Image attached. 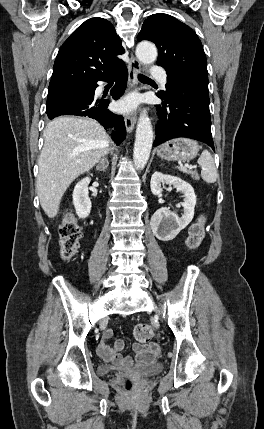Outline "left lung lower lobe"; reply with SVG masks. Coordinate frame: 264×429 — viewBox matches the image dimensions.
Returning <instances> with one entry per match:
<instances>
[{
    "label": "left lung lower lobe",
    "mask_w": 264,
    "mask_h": 429,
    "mask_svg": "<svg viewBox=\"0 0 264 429\" xmlns=\"http://www.w3.org/2000/svg\"><path fill=\"white\" fill-rule=\"evenodd\" d=\"M167 84L166 94L157 93L162 104L156 106L159 122L153 146L186 137L205 142L214 150L208 92L168 77Z\"/></svg>",
    "instance_id": "1"
}]
</instances>
